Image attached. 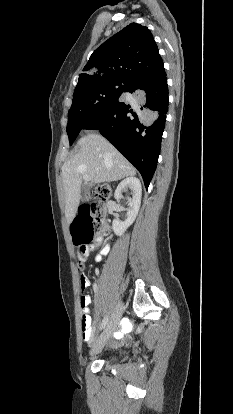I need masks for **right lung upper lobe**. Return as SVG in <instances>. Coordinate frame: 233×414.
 <instances>
[{
  "mask_svg": "<svg viewBox=\"0 0 233 414\" xmlns=\"http://www.w3.org/2000/svg\"><path fill=\"white\" fill-rule=\"evenodd\" d=\"M163 69V61L150 30L131 23L93 52L83 69L85 73L79 75L74 94L103 81L131 82Z\"/></svg>",
  "mask_w": 233,
  "mask_h": 414,
  "instance_id": "cb5924a9",
  "label": "right lung upper lobe"
}]
</instances>
